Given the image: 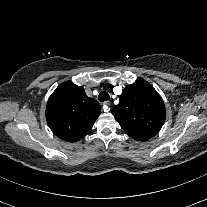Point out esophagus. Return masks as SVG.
Segmentation results:
<instances>
[{
	"mask_svg": "<svg viewBox=\"0 0 207 207\" xmlns=\"http://www.w3.org/2000/svg\"><path fill=\"white\" fill-rule=\"evenodd\" d=\"M103 104H104L105 106L109 107V106L111 105V102H110V101H105ZM109 110H110V109H109Z\"/></svg>",
	"mask_w": 207,
	"mask_h": 207,
	"instance_id": "1",
	"label": "esophagus"
}]
</instances>
